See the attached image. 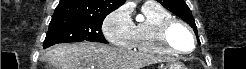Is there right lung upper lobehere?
<instances>
[{
    "mask_svg": "<svg viewBox=\"0 0 246 69\" xmlns=\"http://www.w3.org/2000/svg\"><path fill=\"white\" fill-rule=\"evenodd\" d=\"M126 0H61L52 19L65 17L104 18Z\"/></svg>",
    "mask_w": 246,
    "mask_h": 69,
    "instance_id": "1",
    "label": "right lung upper lobe"
}]
</instances>
